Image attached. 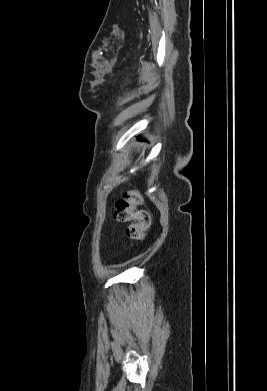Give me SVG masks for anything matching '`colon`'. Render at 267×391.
Wrapping results in <instances>:
<instances>
[{
	"instance_id": "5ec220e1",
	"label": "colon",
	"mask_w": 267,
	"mask_h": 391,
	"mask_svg": "<svg viewBox=\"0 0 267 391\" xmlns=\"http://www.w3.org/2000/svg\"><path fill=\"white\" fill-rule=\"evenodd\" d=\"M143 199L137 190H127L115 203L114 218L118 222H132L127 228V236L136 241L146 238L151 223L150 214L137 208Z\"/></svg>"
}]
</instances>
